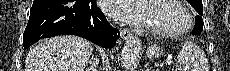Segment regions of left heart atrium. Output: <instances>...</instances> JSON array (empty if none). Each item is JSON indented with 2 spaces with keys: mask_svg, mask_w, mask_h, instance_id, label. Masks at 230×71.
<instances>
[{
  "mask_svg": "<svg viewBox=\"0 0 230 71\" xmlns=\"http://www.w3.org/2000/svg\"><path fill=\"white\" fill-rule=\"evenodd\" d=\"M102 6L111 16L130 24H144L149 20L147 0H104Z\"/></svg>",
  "mask_w": 230,
  "mask_h": 71,
  "instance_id": "39dd6f15",
  "label": "left heart atrium"
}]
</instances>
